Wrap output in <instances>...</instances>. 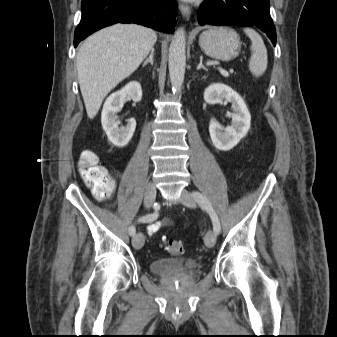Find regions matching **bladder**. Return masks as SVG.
I'll return each instance as SVG.
<instances>
[{
	"mask_svg": "<svg viewBox=\"0 0 337 337\" xmlns=\"http://www.w3.org/2000/svg\"><path fill=\"white\" fill-rule=\"evenodd\" d=\"M152 271L161 276L171 275L179 270L188 271L183 260L177 258H161L151 263Z\"/></svg>",
	"mask_w": 337,
	"mask_h": 337,
	"instance_id": "31cf9c89",
	"label": "bladder"
}]
</instances>
